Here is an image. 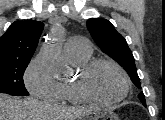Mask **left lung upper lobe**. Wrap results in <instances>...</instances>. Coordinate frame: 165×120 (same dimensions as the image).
<instances>
[{"label":"left lung upper lobe","mask_w":165,"mask_h":120,"mask_svg":"<svg viewBox=\"0 0 165 120\" xmlns=\"http://www.w3.org/2000/svg\"><path fill=\"white\" fill-rule=\"evenodd\" d=\"M87 28L100 49L118 62L129 74L132 82L138 88H141L134 57L125 38L106 19H89ZM138 97L142 104L146 106L143 92H140Z\"/></svg>","instance_id":"5c2ea615"}]
</instances>
